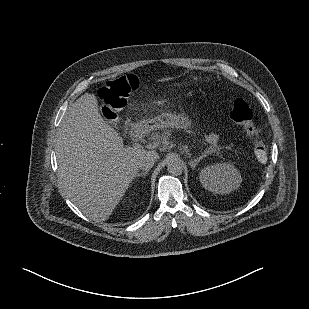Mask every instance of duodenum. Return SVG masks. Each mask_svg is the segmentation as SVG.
<instances>
[{"mask_svg":"<svg viewBox=\"0 0 309 309\" xmlns=\"http://www.w3.org/2000/svg\"><path fill=\"white\" fill-rule=\"evenodd\" d=\"M152 127L148 123H140L133 128V133L135 138H141L150 133Z\"/></svg>","mask_w":309,"mask_h":309,"instance_id":"duodenum-1","label":"duodenum"}]
</instances>
